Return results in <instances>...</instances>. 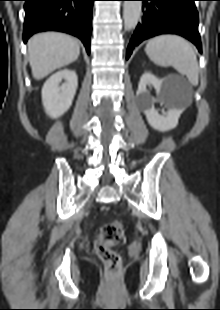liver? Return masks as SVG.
<instances>
[{"instance_id":"liver-1","label":"liver","mask_w":220,"mask_h":310,"mask_svg":"<svg viewBox=\"0 0 220 310\" xmlns=\"http://www.w3.org/2000/svg\"><path fill=\"white\" fill-rule=\"evenodd\" d=\"M28 54L32 75L40 80L77 60L80 48L78 42L69 35L46 32L29 39Z\"/></svg>"}]
</instances>
